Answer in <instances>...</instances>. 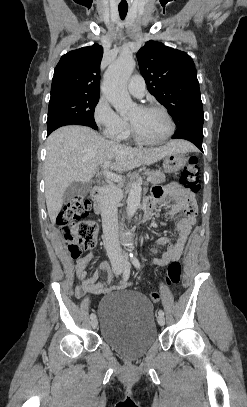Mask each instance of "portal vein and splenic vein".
Instances as JSON below:
<instances>
[{
    "label": "portal vein and splenic vein",
    "instance_id": "portal-vein-and-splenic-vein-1",
    "mask_svg": "<svg viewBox=\"0 0 247 407\" xmlns=\"http://www.w3.org/2000/svg\"><path fill=\"white\" fill-rule=\"evenodd\" d=\"M109 166H110L109 161H106V162L103 163V168H104V171L102 173L103 176H105L107 179L113 180L115 182H121L123 180V177L121 175L114 174V173L108 171ZM150 180H151V178L148 177L147 181H150Z\"/></svg>",
    "mask_w": 247,
    "mask_h": 407
}]
</instances>
